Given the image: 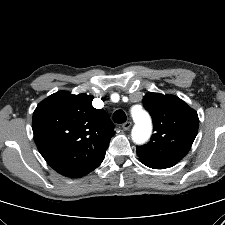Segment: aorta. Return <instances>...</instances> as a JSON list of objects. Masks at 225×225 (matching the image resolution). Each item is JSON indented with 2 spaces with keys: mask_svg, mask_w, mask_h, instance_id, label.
I'll use <instances>...</instances> for the list:
<instances>
[{
  "mask_svg": "<svg viewBox=\"0 0 225 225\" xmlns=\"http://www.w3.org/2000/svg\"><path fill=\"white\" fill-rule=\"evenodd\" d=\"M132 118L135 125L131 132V137L134 143L143 144L151 136L152 133V123L149 114L142 110H132Z\"/></svg>",
  "mask_w": 225,
  "mask_h": 225,
  "instance_id": "762f6f07",
  "label": "aorta"
}]
</instances>
